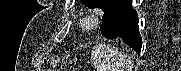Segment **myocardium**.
Masks as SVG:
<instances>
[{
    "label": "myocardium",
    "instance_id": "1",
    "mask_svg": "<svg viewBox=\"0 0 181 71\" xmlns=\"http://www.w3.org/2000/svg\"><path fill=\"white\" fill-rule=\"evenodd\" d=\"M98 26V19L95 15H88L81 23V27L84 31H90Z\"/></svg>",
    "mask_w": 181,
    "mask_h": 71
}]
</instances>
